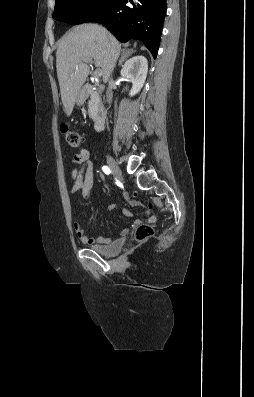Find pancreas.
Listing matches in <instances>:
<instances>
[{"mask_svg":"<svg viewBox=\"0 0 254 397\" xmlns=\"http://www.w3.org/2000/svg\"><path fill=\"white\" fill-rule=\"evenodd\" d=\"M101 105V98L97 91H94L90 95V100L88 102V114L89 117L94 119L98 113V109Z\"/></svg>","mask_w":254,"mask_h":397,"instance_id":"obj_1","label":"pancreas"}]
</instances>
